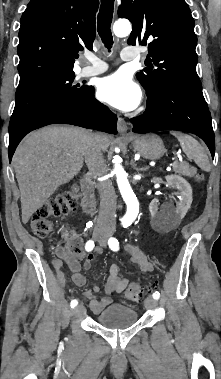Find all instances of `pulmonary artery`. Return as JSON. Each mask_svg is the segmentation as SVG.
Masks as SVG:
<instances>
[{"instance_id":"obj_1","label":"pulmonary artery","mask_w":221,"mask_h":379,"mask_svg":"<svg viewBox=\"0 0 221 379\" xmlns=\"http://www.w3.org/2000/svg\"><path fill=\"white\" fill-rule=\"evenodd\" d=\"M137 57V51L132 48H124L121 51V59L123 61H129L133 60ZM87 60L89 61L90 65L84 67L81 70V74L83 76H93V75H99L104 73L107 70V65L105 62H103L101 59H99L97 56L93 54L87 55Z\"/></svg>"}]
</instances>
